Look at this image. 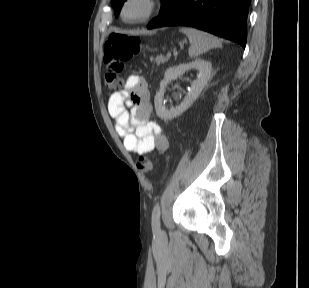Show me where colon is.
Segmentation results:
<instances>
[{
	"mask_svg": "<svg viewBox=\"0 0 309 288\" xmlns=\"http://www.w3.org/2000/svg\"><path fill=\"white\" fill-rule=\"evenodd\" d=\"M141 49L140 39L121 33H114L109 36V39L104 46V83L106 88L119 90L122 87L123 81L121 73L124 67V62L136 56ZM137 167L143 171L152 169V162L140 155L137 159Z\"/></svg>",
	"mask_w": 309,
	"mask_h": 288,
	"instance_id": "1",
	"label": "colon"
}]
</instances>
